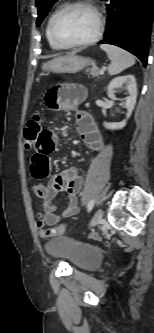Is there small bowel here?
Wrapping results in <instances>:
<instances>
[{
	"mask_svg": "<svg viewBox=\"0 0 154 333\" xmlns=\"http://www.w3.org/2000/svg\"><path fill=\"white\" fill-rule=\"evenodd\" d=\"M86 97V89L79 84L66 83L52 88L46 94V104L53 109L74 110ZM76 130L87 146L97 152L103 147L102 136L93 120L85 112L76 113ZM57 136L50 129H42L37 135L33 145L34 153L30 160V170L33 178H46L51 170L50 155L56 150ZM83 186V179L76 170L71 169L59 173L48 181L47 184L35 183L33 193L42 200V222L48 226L57 225L62 218L71 217L80 211L79 193ZM65 192L68 197L66 208L61 214L57 213V204L54 196Z\"/></svg>",
	"mask_w": 154,
	"mask_h": 333,
	"instance_id": "small-bowel-1",
	"label": "small bowel"
}]
</instances>
